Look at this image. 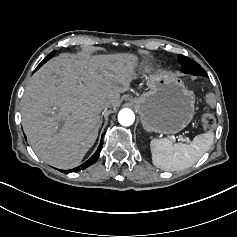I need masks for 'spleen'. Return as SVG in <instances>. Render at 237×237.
Listing matches in <instances>:
<instances>
[{
  "label": "spleen",
  "mask_w": 237,
  "mask_h": 237,
  "mask_svg": "<svg viewBox=\"0 0 237 237\" xmlns=\"http://www.w3.org/2000/svg\"><path fill=\"white\" fill-rule=\"evenodd\" d=\"M214 131L196 135L190 144L173 143L169 138L150 140L152 164L164 171L184 170L193 166L211 148Z\"/></svg>",
  "instance_id": "3e777b00"
}]
</instances>
